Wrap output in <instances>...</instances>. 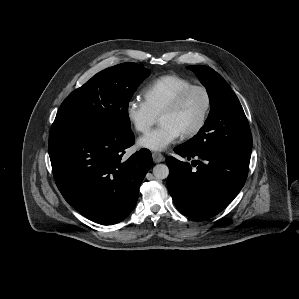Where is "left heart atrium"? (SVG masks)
<instances>
[{
    "label": "left heart atrium",
    "mask_w": 299,
    "mask_h": 299,
    "mask_svg": "<svg viewBox=\"0 0 299 299\" xmlns=\"http://www.w3.org/2000/svg\"><path fill=\"white\" fill-rule=\"evenodd\" d=\"M181 132L171 124H161L138 139V146L152 151H162L174 143Z\"/></svg>",
    "instance_id": "39dd6f15"
}]
</instances>
